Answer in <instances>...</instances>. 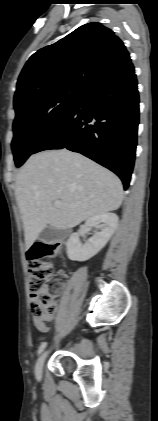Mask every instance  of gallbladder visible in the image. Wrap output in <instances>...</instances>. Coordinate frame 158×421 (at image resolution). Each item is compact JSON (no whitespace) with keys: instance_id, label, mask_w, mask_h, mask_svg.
Wrapping results in <instances>:
<instances>
[{"instance_id":"1","label":"gallbladder","mask_w":158,"mask_h":421,"mask_svg":"<svg viewBox=\"0 0 158 421\" xmlns=\"http://www.w3.org/2000/svg\"><path fill=\"white\" fill-rule=\"evenodd\" d=\"M67 235L65 229L53 228L47 226L39 235V241L43 243H52L62 241Z\"/></svg>"}]
</instances>
